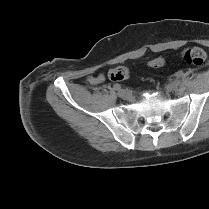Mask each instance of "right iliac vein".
Here are the masks:
<instances>
[{
    "mask_svg": "<svg viewBox=\"0 0 209 209\" xmlns=\"http://www.w3.org/2000/svg\"><path fill=\"white\" fill-rule=\"evenodd\" d=\"M117 95L123 99L127 98L128 97V94L125 90L121 89L117 92Z\"/></svg>",
    "mask_w": 209,
    "mask_h": 209,
    "instance_id": "obj_1",
    "label": "right iliac vein"
}]
</instances>
